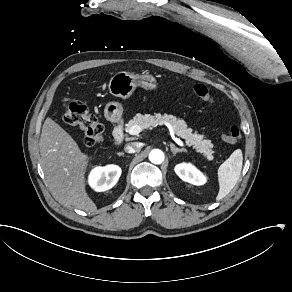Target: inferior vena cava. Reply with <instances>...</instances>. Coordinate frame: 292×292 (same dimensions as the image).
<instances>
[{"label": "inferior vena cava", "instance_id": "inferior-vena-cava-1", "mask_svg": "<svg viewBox=\"0 0 292 292\" xmlns=\"http://www.w3.org/2000/svg\"><path fill=\"white\" fill-rule=\"evenodd\" d=\"M140 149H141V146L137 142H132V143L126 144L124 147V150L127 153H136V152L140 151Z\"/></svg>", "mask_w": 292, "mask_h": 292}]
</instances>
